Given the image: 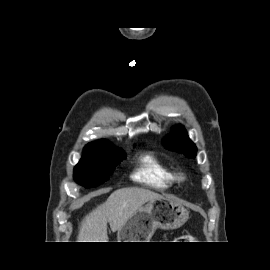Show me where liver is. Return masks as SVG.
Returning <instances> with one entry per match:
<instances>
[{
	"instance_id": "obj_1",
	"label": "liver",
	"mask_w": 270,
	"mask_h": 270,
	"mask_svg": "<svg viewBox=\"0 0 270 270\" xmlns=\"http://www.w3.org/2000/svg\"><path fill=\"white\" fill-rule=\"evenodd\" d=\"M163 196L148 189L127 187L114 191L108 199L81 221L78 242H107V223L113 232L125 223L145 203Z\"/></svg>"
}]
</instances>
